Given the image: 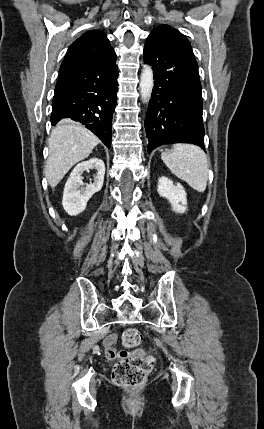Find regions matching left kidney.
Segmentation results:
<instances>
[{
	"instance_id": "left-kidney-1",
	"label": "left kidney",
	"mask_w": 264,
	"mask_h": 429,
	"mask_svg": "<svg viewBox=\"0 0 264 429\" xmlns=\"http://www.w3.org/2000/svg\"><path fill=\"white\" fill-rule=\"evenodd\" d=\"M158 193L171 203L173 211L177 213L186 212V192L181 184L174 185L170 179L163 176L158 181Z\"/></svg>"
}]
</instances>
